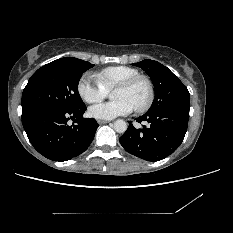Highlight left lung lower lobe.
Segmentation results:
<instances>
[{
  "label": "left lung lower lobe",
  "instance_id": "0a47b994",
  "mask_svg": "<svg viewBox=\"0 0 233 233\" xmlns=\"http://www.w3.org/2000/svg\"><path fill=\"white\" fill-rule=\"evenodd\" d=\"M189 105L146 112L136 118L150 126L136 129L131 123L119 138L130 154L147 161H158L171 155L182 143L187 131Z\"/></svg>",
  "mask_w": 233,
  "mask_h": 233
}]
</instances>
